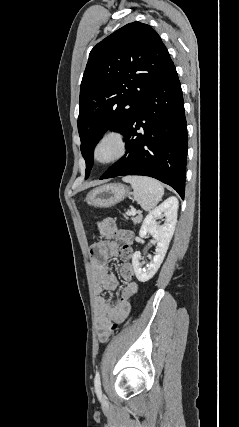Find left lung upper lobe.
<instances>
[{"label":"left lung upper lobe","instance_id":"left-lung-upper-lobe-1","mask_svg":"<svg viewBox=\"0 0 239 427\" xmlns=\"http://www.w3.org/2000/svg\"><path fill=\"white\" fill-rule=\"evenodd\" d=\"M173 66L160 36L140 22L123 26L91 50L80 87L78 117L85 178L103 133L112 129L124 135L140 100Z\"/></svg>","mask_w":239,"mask_h":427}]
</instances>
